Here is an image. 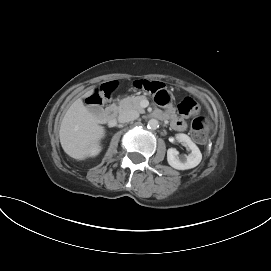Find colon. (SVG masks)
<instances>
[{
    "mask_svg": "<svg viewBox=\"0 0 271 271\" xmlns=\"http://www.w3.org/2000/svg\"><path fill=\"white\" fill-rule=\"evenodd\" d=\"M133 86L138 90L154 95L159 105L166 106L171 103V95L162 82L151 79H137L133 82ZM115 88L116 84L114 82L103 84L88 97L87 103L95 108L100 107L110 97ZM197 110L198 104L191 97L183 98L178 104V111L182 115H190ZM191 132L196 142L204 143L207 139L208 121L204 117H196L192 121Z\"/></svg>",
    "mask_w": 271,
    "mask_h": 271,
    "instance_id": "colon-1",
    "label": "colon"
}]
</instances>
